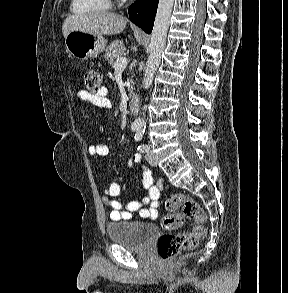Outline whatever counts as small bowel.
I'll use <instances>...</instances> for the list:
<instances>
[{
    "mask_svg": "<svg viewBox=\"0 0 288 293\" xmlns=\"http://www.w3.org/2000/svg\"><path fill=\"white\" fill-rule=\"evenodd\" d=\"M78 97L81 101L91 103L95 107L112 110L113 104L108 97L106 87L98 92H90L88 90H80ZM89 154L95 159L105 157L109 153V147L106 144H92L88 148ZM139 164L142 169V185L147 195L140 201H130L126 205H122L115 199L120 193V186L117 183H111L104 188L103 200L105 205L111 209L110 219L113 221L130 220L133 218L134 212L144 219H156L158 217V206L161 198L160 189L155 185L151 171L142 161V156L138 153L133 154L129 158L128 165Z\"/></svg>",
    "mask_w": 288,
    "mask_h": 293,
    "instance_id": "small-bowel-1",
    "label": "small bowel"
}]
</instances>
